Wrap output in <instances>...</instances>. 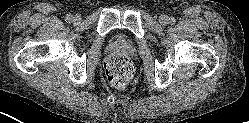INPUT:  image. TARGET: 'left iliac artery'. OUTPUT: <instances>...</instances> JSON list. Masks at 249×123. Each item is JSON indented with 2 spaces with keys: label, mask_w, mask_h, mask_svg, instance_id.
<instances>
[{
  "label": "left iliac artery",
  "mask_w": 249,
  "mask_h": 123,
  "mask_svg": "<svg viewBox=\"0 0 249 123\" xmlns=\"http://www.w3.org/2000/svg\"><path fill=\"white\" fill-rule=\"evenodd\" d=\"M175 22H176V20H175L174 17H170V18H169V23H170V24H175Z\"/></svg>",
  "instance_id": "1"
}]
</instances>
